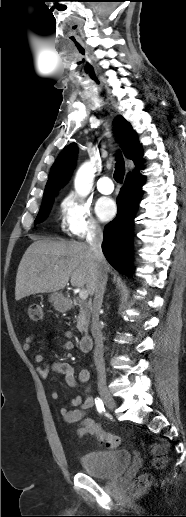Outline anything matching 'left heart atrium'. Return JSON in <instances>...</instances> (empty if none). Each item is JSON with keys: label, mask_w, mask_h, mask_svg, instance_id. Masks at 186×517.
<instances>
[{"label": "left heart atrium", "mask_w": 186, "mask_h": 517, "mask_svg": "<svg viewBox=\"0 0 186 517\" xmlns=\"http://www.w3.org/2000/svg\"><path fill=\"white\" fill-rule=\"evenodd\" d=\"M96 213L102 221L111 220L116 214V205L110 198H101L96 203Z\"/></svg>", "instance_id": "1"}]
</instances>
